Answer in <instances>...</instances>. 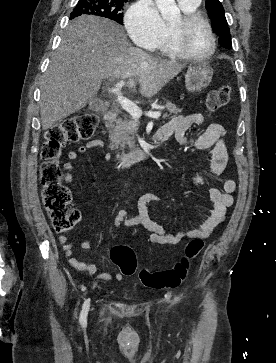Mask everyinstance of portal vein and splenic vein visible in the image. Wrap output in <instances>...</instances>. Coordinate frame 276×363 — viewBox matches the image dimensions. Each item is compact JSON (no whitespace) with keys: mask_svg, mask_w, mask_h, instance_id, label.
I'll use <instances>...</instances> for the list:
<instances>
[{"mask_svg":"<svg viewBox=\"0 0 276 363\" xmlns=\"http://www.w3.org/2000/svg\"><path fill=\"white\" fill-rule=\"evenodd\" d=\"M125 82L123 80L118 81L115 84V87L112 88V92L116 95L118 103L121 107L127 111L133 118L138 119L142 116V110L132 101L127 99L126 97L121 95V89L124 86ZM146 116L150 118H159L161 116V112H147L145 113Z\"/></svg>","mask_w":276,"mask_h":363,"instance_id":"portal-vein-and-splenic-vein-1","label":"portal vein and splenic vein"}]
</instances>
